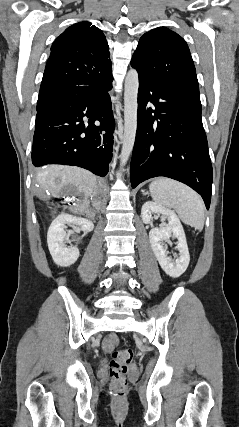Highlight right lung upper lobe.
Instances as JSON below:
<instances>
[{
    "label": "right lung upper lobe",
    "instance_id": "right-lung-upper-lobe-1",
    "mask_svg": "<svg viewBox=\"0 0 239 427\" xmlns=\"http://www.w3.org/2000/svg\"><path fill=\"white\" fill-rule=\"evenodd\" d=\"M112 75L105 35L89 22L67 28L51 47L39 98L71 85H94Z\"/></svg>",
    "mask_w": 239,
    "mask_h": 427
}]
</instances>
